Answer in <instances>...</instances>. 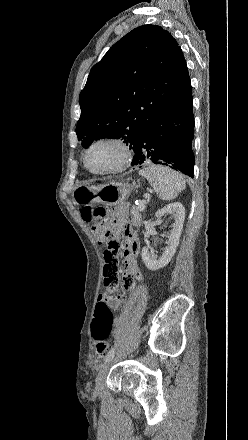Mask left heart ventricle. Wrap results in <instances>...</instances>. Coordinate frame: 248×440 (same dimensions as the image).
I'll return each instance as SVG.
<instances>
[{"mask_svg":"<svg viewBox=\"0 0 248 440\" xmlns=\"http://www.w3.org/2000/svg\"><path fill=\"white\" fill-rule=\"evenodd\" d=\"M120 152L112 144L96 146L88 156V166L93 170H104L113 166L119 159Z\"/></svg>","mask_w":248,"mask_h":440,"instance_id":"b2bd125f","label":"left heart ventricle"}]
</instances>
